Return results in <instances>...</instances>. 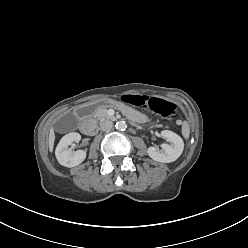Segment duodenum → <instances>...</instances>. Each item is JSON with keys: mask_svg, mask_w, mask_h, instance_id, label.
Listing matches in <instances>:
<instances>
[{"mask_svg": "<svg viewBox=\"0 0 248 248\" xmlns=\"http://www.w3.org/2000/svg\"><path fill=\"white\" fill-rule=\"evenodd\" d=\"M85 105H88V103H85V104H82L81 106H79V108L77 109V116L81 121V123H80L81 131L86 135H93L97 131V125H96V123L89 122L87 120V118L90 115L84 113L83 109H84Z\"/></svg>", "mask_w": 248, "mask_h": 248, "instance_id": "duodenum-1", "label": "duodenum"}]
</instances>
